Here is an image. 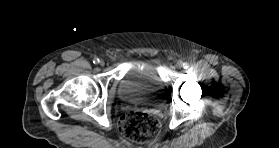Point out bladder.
I'll return each mask as SVG.
<instances>
[{"label":"bladder","mask_w":279,"mask_h":148,"mask_svg":"<svg viewBox=\"0 0 279 148\" xmlns=\"http://www.w3.org/2000/svg\"><path fill=\"white\" fill-rule=\"evenodd\" d=\"M159 66L158 58L131 62L119 81V99L141 106H161L164 103V82Z\"/></svg>","instance_id":"bladder-1"}]
</instances>
